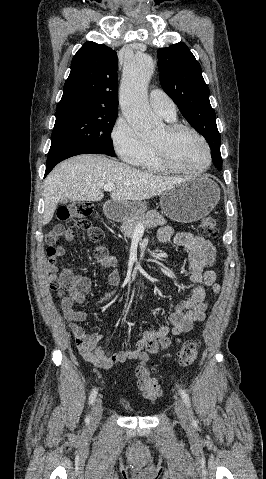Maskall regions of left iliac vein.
Instances as JSON below:
<instances>
[{
  "label": "left iliac vein",
  "mask_w": 266,
  "mask_h": 479,
  "mask_svg": "<svg viewBox=\"0 0 266 479\" xmlns=\"http://www.w3.org/2000/svg\"><path fill=\"white\" fill-rule=\"evenodd\" d=\"M175 412L182 426L189 427L191 425L190 416L185 403L180 398H177L175 401Z\"/></svg>",
  "instance_id": "4c4485c4"
}]
</instances>
